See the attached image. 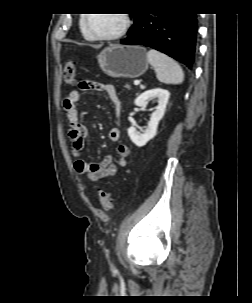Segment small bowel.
I'll use <instances>...</instances> for the list:
<instances>
[{"label":"small bowel","instance_id":"obj_1","mask_svg":"<svg viewBox=\"0 0 252 303\" xmlns=\"http://www.w3.org/2000/svg\"><path fill=\"white\" fill-rule=\"evenodd\" d=\"M96 90L106 93L111 101L116 115L117 124L108 133L110 141L116 143L121 139L120 114L121 101L117 95L116 89L112 84H102L83 80L79 83V88L72 90L64 100V110L66 112L69 124L67 129V138L70 151L74 157V169L78 174L87 175L91 181H99L116 175L120 168L127 165L129 148L126 145L116 147L115 154L109 155L102 161L86 162L78 158L85 145V139L88 133V126L79 117L78 103L81 99V91Z\"/></svg>","mask_w":252,"mask_h":303}]
</instances>
